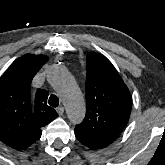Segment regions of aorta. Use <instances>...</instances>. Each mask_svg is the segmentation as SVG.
<instances>
[{
  "label": "aorta",
  "instance_id": "762f6f07",
  "mask_svg": "<svg viewBox=\"0 0 165 165\" xmlns=\"http://www.w3.org/2000/svg\"><path fill=\"white\" fill-rule=\"evenodd\" d=\"M47 78L61 88L69 121L74 125L81 123L85 117V101L68 70L62 65H55L50 69Z\"/></svg>",
  "mask_w": 165,
  "mask_h": 165
}]
</instances>
